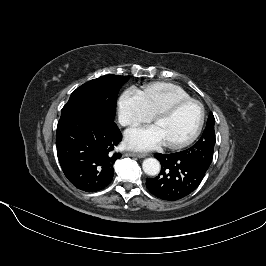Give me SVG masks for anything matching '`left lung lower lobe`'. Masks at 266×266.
<instances>
[{
	"label": "left lung lower lobe",
	"instance_id": "obj_1",
	"mask_svg": "<svg viewBox=\"0 0 266 266\" xmlns=\"http://www.w3.org/2000/svg\"><path fill=\"white\" fill-rule=\"evenodd\" d=\"M155 157L161 162V172L155 178L147 179L146 186L154 196L163 200L175 201L186 197L199 186L206 173L179 152L156 153Z\"/></svg>",
	"mask_w": 266,
	"mask_h": 266
}]
</instances>
